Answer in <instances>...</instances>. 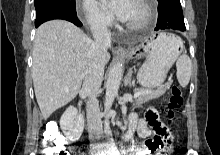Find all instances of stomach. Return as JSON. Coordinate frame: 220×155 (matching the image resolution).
<instances>
[{"mask_svg":"<svg viewBox=\"0 0 220 155\" xmlns=\"http://www.w3.org/2000/svg\"><path fill=\"white\" fill-rule=\"evenodd\" d=\"M183 49L180 37L171 33H160L143 45L132 50L128 58H134L142 50L147 54L146 62L138 71V82L145 88L162 86L173 63Z\"/></svg>","mask_w":220,"mask_h":155,"instance_id":"obj_1","label":"stomach"}]
</instances>
